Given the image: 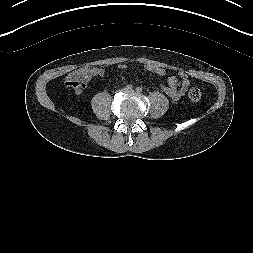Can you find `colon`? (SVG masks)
Returning a JSON list of instances; mask_svg holds the SVG:
<instances>
[{"label":"colon","mask_w":253,"mask_h":253,"mask_svg":"<svg viewBox=\"0 0 253 253\" xmlns=\"http://www.w3.org/2000/svg\"><path fill=\"white\" fill-rule=\"evenodd\" d=\"M93 74V69L89 67H83L73 72L66 80L65 85L73 90H83L87 82L90 80ZM188 97L193 102H198L202 97V92L198 87H192L188 92Z\"/></svg>","instance_id":"5ec220e1"}]
</instances>
